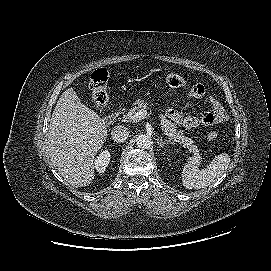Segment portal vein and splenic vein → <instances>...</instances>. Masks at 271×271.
<instances>
[{"instance_id": "18ae733b", "label": "portal vein and splenic vein", "mask_w": 271, "mask_h": 271, "mask_svg": "<svg viewBox=\"0 0 271 271\" xmlns=\"http://www.w3.org/2000/svg\"><path fill=\"white\" fill-rule=\"evenodd\" d=\"M147 115H149V113L145 110V109H141L138 112L135 113L134 118L135 121H139L144 119Z\"/></svg>"}]
</instances>
